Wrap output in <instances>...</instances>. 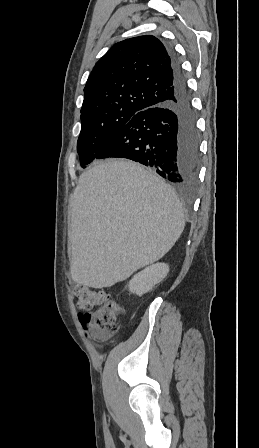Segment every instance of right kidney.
<instances>
[{
  "label": "right kidney",
  "mask_w": 259,
  "mask_h": 448,
  "mask_svg": "<svg viewBox=\"0 0 259 448\" xmlns=\"http://www.w3.org/2000/svg\"><path fill=\"white\" fill-rule=\"evenodd\" d=\"M168 272L167 264H153V266H148L142 272L135 274L134 278L130 280L128 288L132 294L143 296V294H147L149 290H152L153 286L162 282Z\"/></svg>",
  "instance_id": "1"
}]
</instances>
